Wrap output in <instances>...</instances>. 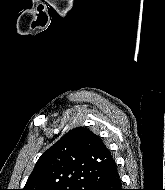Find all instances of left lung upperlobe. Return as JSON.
I'll return each instance as SVG.
<instances>
[{"label": "left lung upper lobe", "mask_w": 165, "mask_h": 190, "mask_svg": "<svg viewBox=\"0 0 165 190\" xmlns=\"http://www.w3.org/2000/svg\"><path fill=\"white\" fill-rule=\"evenodd\" d=\"M114 164L102 140L78 127L40 156L22 190H92Z\"/></svg>", "instance_id": "5c2ea615"}]
</instances>
